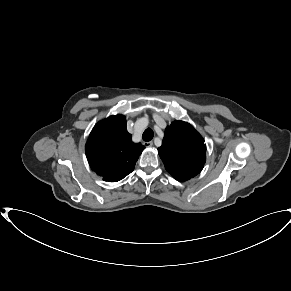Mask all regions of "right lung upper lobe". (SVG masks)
I'll use <instances>...</instances> for the list:
<instances>
[{
    "label": "right lung upper lobe",
    "instance_id": "obj_1",
    "mask_svg": "<svg viewBox=\"0 0 291 291\" xmlns=\"http://www.w3.org/2000/svg\"><path fill=\"white\" fill-rule=\"evenodd\" d=\"M140 143L132 142L123 115H113L98 122L90 133L85 152L91 169L104 181L116 182L135 167L144 150Z\"/></svg>",
    "mask_w": 291,
    "mask_h": 291
}]
</instances>
